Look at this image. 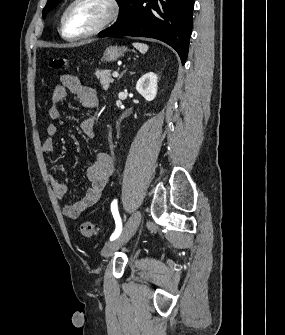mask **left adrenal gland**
<instances>
[{"mask_svg":"<svg viewBox=\"0 0 285 335\" xmlns=\"http://www.w3.org/2000/svg\"><path fill=\"white\" fill-rule=\"evenodd\" d=\"M125 72H127V70H124V72H122L121 76H119V78H122L123 74H125Z\"/></svg>","mask_w":285,"mask_h":335,"instance_id":"left-adrenal-gland-1","label":"left adrenal gland"}]
</instances>
